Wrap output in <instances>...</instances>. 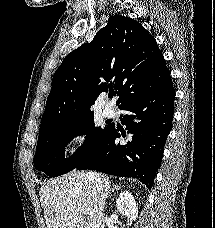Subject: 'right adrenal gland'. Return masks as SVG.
I'll list each match as a JSON object with an SVG mask.
<instances>
[{
    "label": "right adrenal gland",
    "mask_w": 215,
    "mask_h": 228,
    "mask_svg": "<svg viewBox=\"0 0 215 228\" xmlns=\"http://www.w3.org/2000/svg\"><path fill=\"white\" fill-rule=\"evenodd\" d=\"M121 186H118V184H116V186H113L112 188V192H114V190H120Z\"/></svg>",
    "instance_id": "obj_1"
}]
</instances>
